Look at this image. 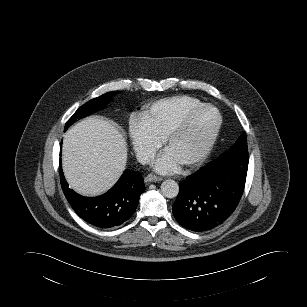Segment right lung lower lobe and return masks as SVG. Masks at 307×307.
Instances as JSON below:
<instances>
[{
  "mask_svg": "<svg viewBox=\"0 0 307 307\" xmlns=\"http://www.w3.org/2000/svg\"><path fill=\"white\" fill-rule=\"evenodd\" d=\"M61 186L73 210L87 223L109 229L120 226L135 212L144 192V180L139 172L124 171L119 181L107 193L83 197L71 190L64 178L60 163Z\"/></svg>",
  "mask_w": 307,
  "mask_h": 307,
  "instance_id": "98d812e1",
  "label": "right lung lower lobe"
}]
</instances>
